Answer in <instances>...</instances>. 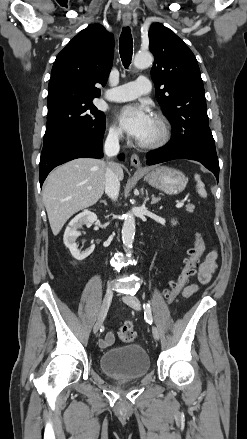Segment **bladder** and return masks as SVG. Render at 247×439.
Returning <instances> with one entry per match:
<instances>
[{
  "instance_id": "obj_1",
  "label": "bladder",
  "mask_w": 247,
  "mask_h": 439,
  "mask_svg": "<svg viewBox=\"0 0 247 439\" xmlns=\"http://www.w3.org/2000/svg\"><path fill=\"white\" fill-rule=\"evenodd\" d=\"M100 367L115 380L133 381L149 372L150 358L142 346L130 344L104 352L100 357Z\"/></svg>"
}]
</instances>
